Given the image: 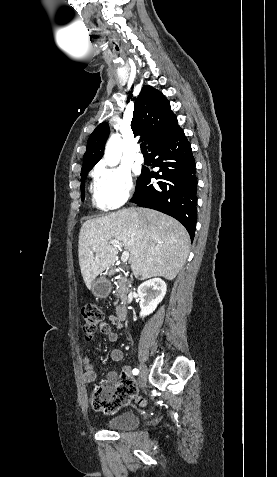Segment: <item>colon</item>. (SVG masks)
Returning <instances> with one entry per match:
<instances>
[{"instance_id": "obj_1", "label": "colon", "mask_w": 277, "mask_h": 477, "mask_svg": "<svg viewBox=\"0 0 277 477\" xmlns=\"http://www.w3.org/2000/svg\"><path fill=\"white\" fill-rule=\"evenodd\" d=\"M81 316L84 333L87 338H92L101 324L103 313L96 304L88 303L82 307ZM135 392L136 387L131 380L107 382L95 387L90 401L95 411L112 414L128 404ZM139 403L144 405L145 401L140 399Z\"/></svg>"}]
</instances>
